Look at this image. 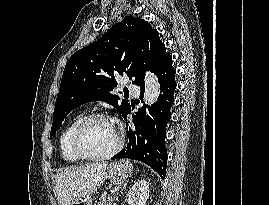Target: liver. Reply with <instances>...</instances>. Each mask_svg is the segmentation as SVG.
<instances>
[{
  "instance_id": "liver-1",
  "label": "liver",
  "mask_w": 269,
  "mask_h": 205,
  "mask_svg": "<svg viewBox=\"0 0 269 205\" xmlns=\"http://www.w3.org/2000/svg\"><path fill=\"white\" fill-rule=\"evenodd\" d=\"M108 163L90 164L65 171L55 178V191L60 205H70L77 198L94 193L103 184Z\"/></svg>"
}]
</instances>
